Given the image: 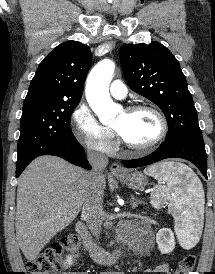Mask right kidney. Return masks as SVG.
<instances>
[{
    "label": "right kidney",
    "mask_w": 215,
    "mask_h": 274,
    "mask_svg": "<svg viewBox=\"0 0 215 274\" xmlns=\"http://www.w3.org/2000/svg\"><path fill=\"white\" fill-rule=\"evenodd\" d=\"M66 263L71 264L72 263V257L67 256Z\"/></svg>",
    "instance_id": "1"
}]
</instances>
